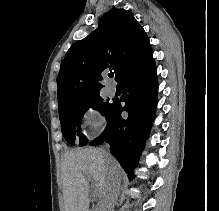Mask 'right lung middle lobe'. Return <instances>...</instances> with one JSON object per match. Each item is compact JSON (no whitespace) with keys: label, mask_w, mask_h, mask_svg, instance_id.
Wrapping results in <instances>:
<instances>
[{"label":"right lung middle lobe","mask_w":219,"mask_h":211,"mask_svg":"<svg viewBox=\"0 0 219 211\" xmlns=\"http://www.w3.org/2000/svg\"><path fill=\"white\" fill-rule=\"evenodd\" d=\"M91 107L102 112L107 118L113 107V103L105 102L100 94H96L77 101L59 105L61 128L68 143L72 145L75 144L76 132L79 136V146H84L87 143L86 136L81 134L80 130L82 118L85 112Z\"/></svg>","instance_id":"dd1d6c3e"}]
</instances>
